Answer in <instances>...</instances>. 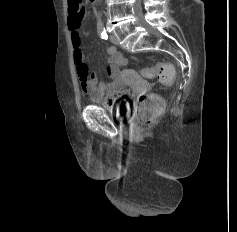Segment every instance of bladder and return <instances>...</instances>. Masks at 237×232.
<instances>
[{"mask_svg": "<svg viewBox=\"0 0 237 232\" xmlns=\"http://www.w3.org/2000/svg\"><path fill=\"white\" fill-rule=\"evenodd\" d=\"M128 91L124 90L121 93V97L118 101H116L114 104L108 105L106 103H102V106L108 110H112L116 117H125L127 113L129 112L130 108V101L127 98Z\"/></svg>", "mask_w": 237, "mask_h": 232, "instance_id": "obj_1", "label": "bladder"}]
</instances>
